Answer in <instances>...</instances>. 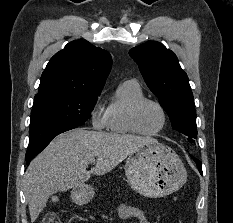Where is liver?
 I'll use <instances>...</instances> for the list:
<instances>
[{
    "mask_svg": "<svg viewBox=\"0 0 233 223\" xmlns=\"http://www.w3.org/2000/svg\"><path fill=\"white\" fill-rule=\"evenodd\" d=\"M76 127L57 135L44 151L30 161L24 175V189L31 221H36L53 193L67 191L88 181L90 175H105L154 137L88 131ZM96 159V165L87 169Z\"/></svg>",
    "mask_w": 233,
    "mask_h": 223,
    "instance_id": "liver-1",
    "label": "liver"
}]
</instances>
